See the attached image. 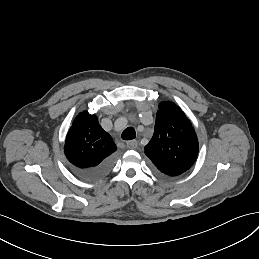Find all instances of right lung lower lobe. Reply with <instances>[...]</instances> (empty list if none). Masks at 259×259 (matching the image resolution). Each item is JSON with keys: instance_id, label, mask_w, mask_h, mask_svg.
I'll return each instance as SVG.
<instances>
[{"instance_id": "right-lung-lower-lobe-1", "label": "right lung lower lobe", "mask_w": 259, "mask_h": 259, "mask_svg": "<svg viewBox=\"0 0 259 259\" xmlns=\"http://www.w3.org/2000/svg\"><path fill=\"white\" fill-rule=\"evenodd\" d=\"M115 157L112 155L105 159L99 165L91 168H78L75 166L71 167L72 172L78 177L85 180H96L107 174L113 167Z\"/></svg>"}]
</instances>
